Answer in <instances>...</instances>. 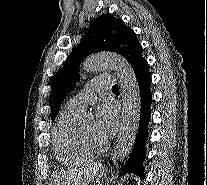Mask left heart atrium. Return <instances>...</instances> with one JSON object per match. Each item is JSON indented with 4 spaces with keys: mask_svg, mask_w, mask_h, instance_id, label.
I'll use <instances>...</instances> for the list:
<instances>
[{
    "mask_svg": "<svg viewBox=\"0 0 207 185\" xmlns=\"http://www.w3.org/2000/svg\"><path fill=\"white\" fill-rule=\"evenodd\" d=\"M119 126L117 107L111 102L100 105L96 110L95 127L105 140L112 138Z\"/></svg>",
    "mask_w": 207,
    "mask_h": 185,
    "instance_id": "left-heart-atrium-1",
    "label": "left heart atrium"
}]
</instances>
